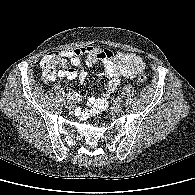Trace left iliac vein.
<instances>
[{
  "label": "left iliac vein",
  "instance_id": "left-iliac-vein-1",
  "mask_svg": "<svg viewBox=\"0 0 195 195\" xmlns=\"http://www.w3.org/2000/svg\"><path fill=\"white\" fill-rule=\"evenodd\" d=\"M112 110L114 112H120L122 110V104L120 102H116L113 107Z\"/></svg>",
  "mask_w": 195,
  "mask_h": 195
}]
</instances>
